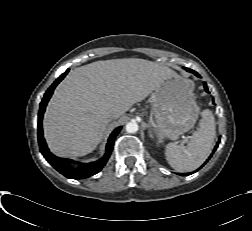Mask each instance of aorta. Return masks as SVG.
<instances>
[{
    "instance_id": "1",
    "label": "aorta",
    "mask_w": 252,
    "mask_h": 231,
    "mask_svg": "<svg viewBox=\"0 0 252 231\" xmlns=\"http://www.w3.org/2000/svg\"><path fill=\"white\" fill-rule=\"evenodd\" d=\"M125 129L128 133H136L139 129V126L136 122H129L126 124Z\"/></svg>"
}]
</instances>
